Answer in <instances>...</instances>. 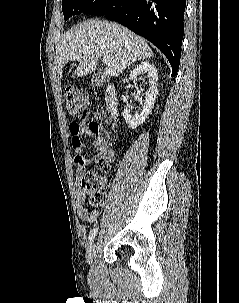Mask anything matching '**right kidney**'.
Segmentation results:
<instances>
[{
	"label": "right kidney",
	"mask_w": 239,
	"mask_h": 303,
	"mask_svg": "<svg viewBox=\"0 0 239 303\" xmlns=\"http://www.w3.org/2000/svg\"><path fill=\"white\" fill-rule=\"evenodd\" d=\"M147 73L149 78V90L146 92L145 102L142 112L139 114L131 115L129 109H124L122 115L127 123V125L136 129L139 125L143 124L148 115L151 113V110L154 106L156 94H157V83H158V71L156 67L149 61H144L137 65L130 73V77L136 78L137 76ZM128 88L132 87L131 85L127 86ZM121 100L127 102L125 96H122Z\"/></svg>",
	"instance_id": "1"
}]
</instances>
